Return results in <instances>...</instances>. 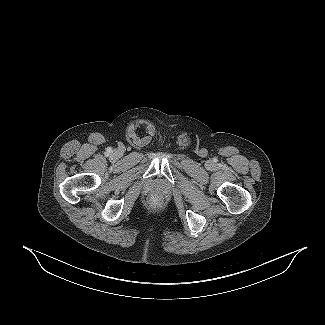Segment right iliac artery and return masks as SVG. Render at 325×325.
Masks as SVG:
<instances>
[{
  "mask_svg": "<svg viewBox=\"0 0 325 325\" xmlns=\"http://www.w3.org/2000/svg\"><path fill=\"white\" fill-rule=\"evenodd\" d=\"M112 149L110 147L107 148V152L111 153Z\"/></svg>",
  "mask_w": 325,
  "mask_h": 325,
  "instance_id": "right-iliac-artery-1",
  "label": "right iliac artery"
}]
</instances>
